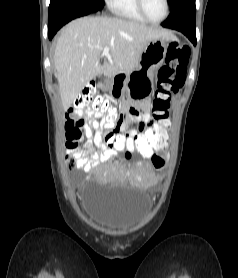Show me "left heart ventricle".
Listing matches in <instances>:
<instances>
[{
    "label": "left heart ventricle",
    "mask_w": 238,
    "mask_h": 278,
    "mask_svg": "<svg viewBox=\"0 0 238 278\" xmlns=\"http://www.w3.org/2000/svg\"><path fill=\"white\" fill-rule=\"evenodd\" d=\"M144 6L148 16L153 20H159L164 16V0H144Z\"/></svg>",
    "instance_id": "left-heart-ventricle-1"
}]
</instances>
